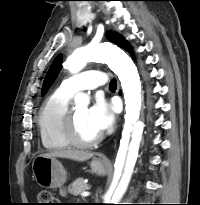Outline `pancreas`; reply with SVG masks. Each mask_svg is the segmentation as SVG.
<instances>
[{
    "instance_id": "cf45deb5",
    "label": "pancreas",
    "mask_w": 200,
    "mask_h": 205,
    "mask_svg": "<svg viewBox=\"0 0 200 205\" xmlns=\"http://www.w3.org/2000/svg\"><path fill=\"white\" fill-rule=\"evenodd\" d=\"M90 186L84 183L83 178H77L69 187L68 192L74 196L81 194L83 191L89 189Z\"/></svg>"
}]
</instances>
